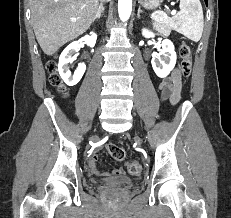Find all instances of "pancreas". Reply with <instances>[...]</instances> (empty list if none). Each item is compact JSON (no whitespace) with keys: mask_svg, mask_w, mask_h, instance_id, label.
Here are the masks:
<instances>
[{"mask_svg":"<svg viewBox=\"0 0 231 218\" xmlns=\"http://www.w3.org/2000/svg\"><path fill=\"white\" fill-rule=\"evenodd\" d=\"M153 27L163 36H168L171 33V27L167 24L154 22Z\"/></svg>","mask_w":231,"mask_h":218,"instance_id":"obj_1","label":"pancreas"}]
</instances>
